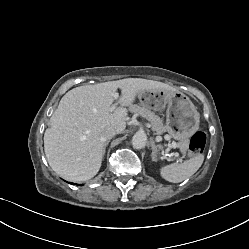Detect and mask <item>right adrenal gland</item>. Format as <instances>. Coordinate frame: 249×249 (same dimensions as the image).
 Masks as SVG:
<instances>
[{
    "label": "right adrenal gland",
    "mask_w": 249,
    "mask_h": 249,
    "mask_svg": "<svg viewBox=\"0 0 249 249\" xmlns=\"http://www.w3.org/2000/svg\"><path fill=\"white\" fill-rule=\"evenodd\" d=\"M109 144V141H107L105 144H104V148H103V156L105 155V151H106V147L107 145Z\"/></svg>",
    "instance_id": "obj_1"
}]
</instances>
